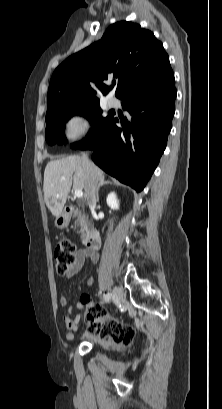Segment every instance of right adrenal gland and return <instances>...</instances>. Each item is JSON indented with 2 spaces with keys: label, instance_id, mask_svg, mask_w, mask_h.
Instances as JSON below:
<instances>
[{
  "label": "right adrenal gland",
  "instance_id": "obj_1",
  "mask_svg": "<svg viewBox=\"0 0 222 409\" xmlns=\"http://www.w3.org/2000/svg\"><path fill=\"white\" fill-rule=\"evenodd\" d=\"M108 184H111V182H110V181H105V178H104V177L100 178L99 184H98V187H97V191H96V199H97V202H99V190H100V188H101L102 186H105V185H108Z\"/></svg>",
  "mask_w": 222,
  "mask_h": 409
}]
</instances>
